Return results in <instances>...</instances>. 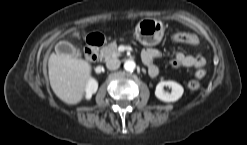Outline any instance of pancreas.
<instances>
[{"mask_svg":"<svg viewBox=\"0 0 247 145\" xmlns=\"http://www.w3.org/2000/svg\"><path fill=\"white\" fill-rule=\"evenodd\" d=\"M121 53L118 51V46L116 42L110 43L100 50V57L106 60L110 58H118Z\"/></svg>","mask_w":247,"mask_h":145,"instance_id":"pancreas-1","label":"pancreas"}]
</instances>
